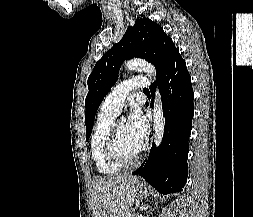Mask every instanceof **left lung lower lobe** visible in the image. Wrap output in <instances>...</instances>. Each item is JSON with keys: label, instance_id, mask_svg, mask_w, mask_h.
I'll return each mask as SVG.
<instances>
[{"label": "left lung lower lobe", "instance_id": "0a47b994", "mask_svg": "<svg viewBox=\"0 0 253 217\" xmlns=\"http://www.w3.org/2000/svg\"><path fill=\"white\" fill-rule=\"evenodd\" d=\"M156 85L163 102L164 136L158 148L153 144L148 159L133 175L143 177L157 191L168 194L182 191L187 180L188 140L194 114L191 77L180 54L150 86L153 97Z\"/></svg>", "mask_w": 253, "mask_h": 217}]
</instances>
